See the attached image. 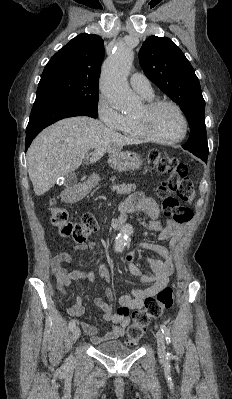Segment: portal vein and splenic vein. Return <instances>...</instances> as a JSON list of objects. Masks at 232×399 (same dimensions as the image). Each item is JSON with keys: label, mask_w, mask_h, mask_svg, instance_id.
<instances>
[{"label": "portal vein and splenic vein", "mask_w": 232, "mask_h": 399, "mask_svg": "<svg viewBox=\"0 0 232 399\" xmlns=\"http://www.w3.org/2000/svg\"><path fill=\"white\" fill-rule=\"evenodd\" d=\"M85 156H86V154H81V156H79V158H82V160H83V158H85Z\"/></svg>", "instance_id": "18ae733b"}]
</instances>
